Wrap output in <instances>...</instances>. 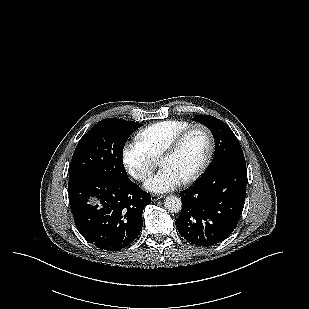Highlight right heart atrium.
I'll return each instance as SVG.
<instances>
[{
    "instance_id": "d8ad5b80",
    "label": "right heart atrium",
    "mask_w": 309,
    "mask_h": 309,
    "mask_svg": "<svg viewBox=\"0 0 309 309\" xmlns=\"http://www.w3.org/2000/svg\"><path fill=\"white\" fill-rule=\"evenodd\" d=\"M122 157L128 173L138 181H145L156 166V159L138 142L127 143Z\"/></svg>"
}]
</instances>
